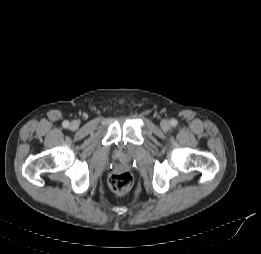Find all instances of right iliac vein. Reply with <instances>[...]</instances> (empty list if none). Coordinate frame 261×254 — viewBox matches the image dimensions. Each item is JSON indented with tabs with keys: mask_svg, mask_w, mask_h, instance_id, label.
<instances>
[{
	"mask_svg": "<svg viewBox=\"0 0 261 254\" xmlns=\"http://www.w3.org/2000/svg\"><path fill=\"white\" fill-rule=\"evenodd\" d=\"M78 127H79V123H78L77 121H72V122L70 123V128H71L72 130H76V129H78Z\"/></svg>",
	"mask_w": 261,
	"mask_h": 254,
	"instance_id": "right-iliac-vein-1",
	"label": "right iliac vein"
}]
</instances>
